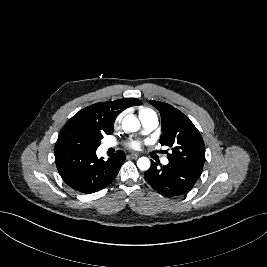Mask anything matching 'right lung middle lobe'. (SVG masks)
I'll use <instances>...</instances> for the list:
<instances>
[{
  "label": "right lung middle lobe",
  "instance_id": "1",
  "mask_svg": "<svg viewBox=\"0 0 267 267\" xmlns=\"http://www.w3.org/2000/svg\"><path fill=\"white\" fill-rule=\"evenodd\" d=\"M111 133L113 130H105L98 126L65 125L56 141L55 153L95 151L103 135Z\"/></svg>",
  "mask_w": 267,
  "mask_h": 267
}]
</instances>
